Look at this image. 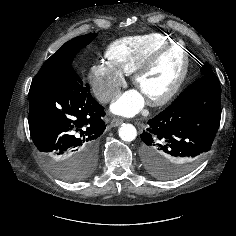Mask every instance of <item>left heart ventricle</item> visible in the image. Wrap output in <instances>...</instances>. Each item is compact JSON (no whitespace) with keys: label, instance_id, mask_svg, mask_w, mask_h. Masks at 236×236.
<instances>
[{"label":"left heart ventricle","instance_id":"left-heart-ventricle-1","mask_svg":"<svg viewBox=\"0 0 236 236\" xmlns=\"http://www.w3.org/2000/svg\"><path fill=\"white\" fill-rule=\"evenodd\" d=\"M182 66V48L180 45L165 53L155 65L141 77L139 91L146 98L157 97L165 93L177 79Z\"/></svg>","mask_w":236,"mask_h":236}]
</instances>
